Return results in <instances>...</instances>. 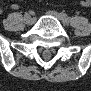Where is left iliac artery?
Segmentation results:
<instances>
[{
  "label": "left iliac artery",
  "mask_w": 91,
  "mask_h": 91,
  "mask_svg": "<svg viewBox=\"0 0 91 91\" xmlns=\"http://www.w3.org/2000/svg\"><path fill=\"white\" fill-rule=\"evenodd\" d=\"M61 16H62L64 22L69 23L70 18L67 16L66 13L62 12V13H61Z\"/></svg>",
  "instance_id": "obj_1"
}]
</instances>
